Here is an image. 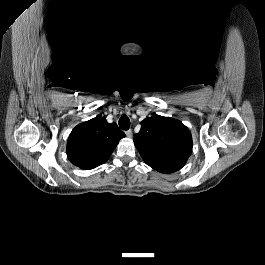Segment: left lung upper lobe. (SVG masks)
Masks as SVG:
<instances>
[{"label":"left lung upper lobe","mask_w":265,"mask_h":265,"mask_svg":"<svg viewBox=\"0 0 265 265\" xmlns=\"http://www.w3.org/2000/svg\"><path fill=\"white\" fill-rule=\"evenodd\" d=\"M143 160L161 171L173 165H185L192 153V136L179 120L155 115L141 122L133 138Z\"/></svg>","instance_id":"obj_1"}]
</instances>
